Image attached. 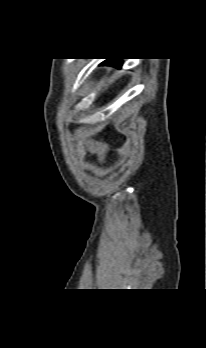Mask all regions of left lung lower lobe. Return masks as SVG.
I'll return each instance as SVG.
<instances>
[{
  "label": "left lung lower lobe",
  "instance_id": "obj_1",
  "mask_svg": "<svg viewBox=\"0 0 206 348\" xmlns=\"http://www.w3.org/2000/svg\"><path fill=\"white\" fill-rule=\"evenodd\" d=\"M102 65H110V66H114L117 68H121L122 62L120 60L111 59V60L104 61L102 63Z\"/></svg>",
  "mask_w": 206,
  "mask_h": 348
}]
</instances>
